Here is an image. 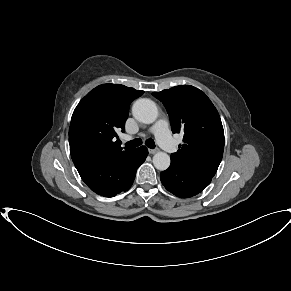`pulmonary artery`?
I'll use <instances>...</instances> for the list:
<instances>
[{
  "mask_svg": "<svg viewBox=\"0 0 291 291\" xmlns=\"http://www.w3.org/2000/svg\"><path fill=\"white\" fill-rule=\"evenodd\" d=\"M150 131L155 135L157 142L165 151L174 153L177 150V145L170 135L168 122L166 120H158L150 128ZM125 139L129 140L130 137L126 136Z\"/></svg>",
  "mask_w": 291,
  "mask_h": 291,
  "instance_id": "obj_1",
  "label": "pulmonary artery"
}]
</instances>
